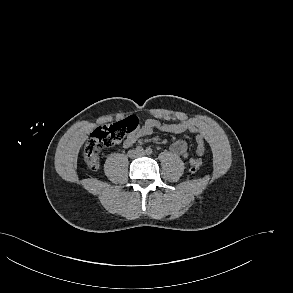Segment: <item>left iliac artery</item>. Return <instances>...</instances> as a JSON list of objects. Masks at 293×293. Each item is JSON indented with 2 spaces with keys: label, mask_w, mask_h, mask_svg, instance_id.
<instances>
[{
  "label": "left iliac artery",
  "mask_w": 293,
  "mask_h": 293,
  "mask_svg": "<svg viewBox=\"0 0 293 293\" xmlns=\"http://www.w3.org/2000/svg\"><path fill=\"white\" fill-rule=\"evenodd\" d=\"M145 152L147 155H150V154H152L153 150L150 147H148V148H146Z\"/></svg>",
  "instance_id": "44dca946"
}]
</instances>
